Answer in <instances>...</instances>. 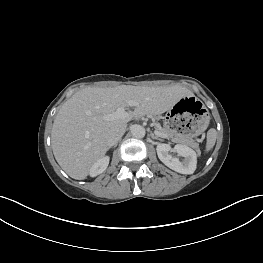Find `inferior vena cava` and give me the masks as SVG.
<instances>
[{
	"label": "inferior vena cava",
	"mask_w": 263,
	"mask_h": 263,
	"mask_svg": "<svg viewBox=\"0 0 263 263\" xmlns=\"http://www.w3.org/2000/svg\"><path fill=\"white\" fill-rule=\"evenodd\" d=\"M125 128H116L113 131L110 132V134L107 137V145L108 147L114 146L117 144V142L121 139L125 132Z\"/></svg>",
	"instance_id": "1"
}]
</instances>
